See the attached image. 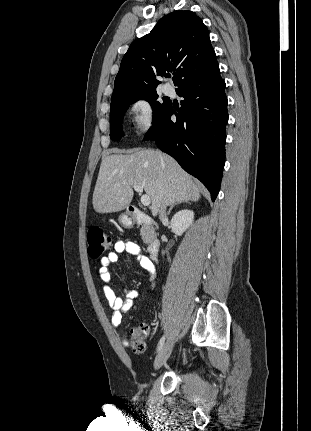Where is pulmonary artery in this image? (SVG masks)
I'll return each mask as SVG.
<instances>
[{"instance_id":"obj_1","label":"pulmonary artery","mask_w":311,"mask_h":431,"mask_svg":"<svg viewBox=\"0 0 311 431\" xmlns=\"http://www.w3.org/2000/svg\"><path fill=\"white\" fill-rule=\"evenodd\" d=\"M163 91L166 95H172L174 93V88L172 85L166 83L164 84Z\"/></svg>"}]
</instances>
